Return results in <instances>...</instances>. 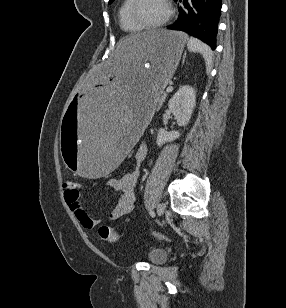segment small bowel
Returning a JSON list of instances; mask_svg holds the SVG:
<instances>
[{
	"label": "small bowel",
	"instance_id": "c3829d8e",
	"mask_svg": "<svg viewBox=\"0 0 286 308\" xmlns=\"http://www.w3.org/2000/svg\"><path fill=\"white\" fill-rule=\"evenodd\" d=\"M147 153V145L145 143L140 144L134 154L135 168L119 178L109 180L108 185L121 192L119 201L109 215L110 220H117L132 211L135 202L134 189L139 177V166L146 159ZM64 199L84 229L92 230L100 223L99 220L93 219L83 207L79 191L65 190Z\"/></svg>",
	"mask_w": 286,
	"mask_h": 308
}]
</instances>
